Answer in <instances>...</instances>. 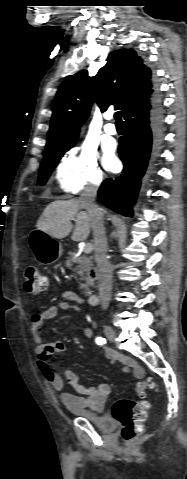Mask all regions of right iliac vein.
I'll list each match as a JSON object with an SVG mask.
<instances>
[{
  "instance_id": "obj_1",
  "label": "right iliac vein",
  "mask_w": 187,
  "mask_h": 479,
  "mask_svg": "<svg viewBox=\"0 0 187 479\" xmlns=\"http://www.w3.org/2000/svg\"><path fill=\"white\" fill-rule=\"evenodd\" d=\"M104 334L107 337V339L110 341H114L116 339L115 331L113 330V328H111L108 325L104 326Z\"/></svg>"
}]
</instances>
